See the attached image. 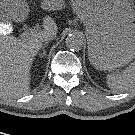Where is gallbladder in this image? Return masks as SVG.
Wrapping results in <instances>:
<instances>
[{
	"label": "gallbladder",
	"instance_id": "bac80fb5",
	"mask_svg": "<svg viewBox=\"0 0 135 135\" xmlns=\"http://www.w3.org/2000/svg\"><path fill=\"white\" fill-rule=\"evenodd\" d=\"M2 15H3V12L0 10V22H4V20H2Z\"/></svg>",
	"mask_w": 135,
	"mask_h": 135
}]
</instances>
